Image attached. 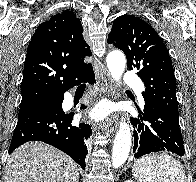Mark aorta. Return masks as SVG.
I'll return each mask as SVG.
<instances>
[{
	"instance_id": "aorta-1",
	"label": "aorta",
	"mask_w": 196,
	"mask_h": 182,
	"mask_svg": "<svg viewBox=\"0 0 196 182\" xmlns=\"http://www.w3.org/2000/svg\"><path fill=\"white\" fill-rule=\"evenodd\" d=\"M107 66L112 78L119 82L125 67L126 59L122 52L112 51L107 55ZM132 136L128 123L120 122L112 150V165L114 168L122 166L128 158L131 148Z\"/></svg>"
}]
</instances>
